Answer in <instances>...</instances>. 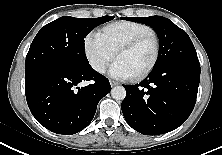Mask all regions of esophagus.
<instances>
[{
	"label": "esophagus",
	"mask_w": 222,
	"mask_h": 155,
	"mask_svg": "<svg viewBox=\"0 0 222 155\" xmlns=\"http://www.w3.org/2000/svg\"><path fill=\"white\" fill-rule=\"evenodd\" d=\"M110 85L112 87H114V86L118 85V83L116 81H114V80H110Z\"/></svg>",
	"instance_id": "esophagus-1"
}]
</instances>
